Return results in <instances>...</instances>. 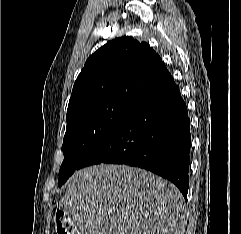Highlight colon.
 <instances>
[{"mask_svg":"<svg viewBox=\"0 0 241 234\" xmlns=\"http://www.w3.org/2000/svg\"><path fill=\"white\" fill-rule=\"evenodd\" d=\"M55 225L57 234H76L70 217L64 211L58 210L56 212Z\"/></svg>","mask_w":241,"mask_h":234,"instance_id":"colon-1","label":"colon"}]
</instances>
